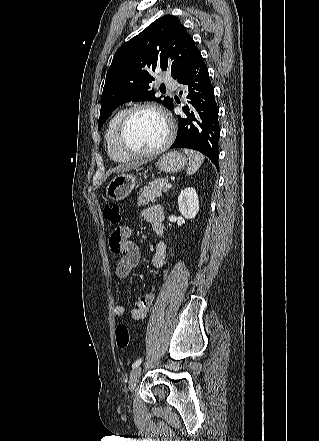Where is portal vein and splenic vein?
<instances>
[{"instance_id":"1","label":"portal vein and splenic vein","mask_w":319,"mask_h":441,"mask_svg":"<svg viewBox=\"0 0 319 441\" xmlns=\"http://www.w3.org/2000/svg\"><path fill=\"white\" fill-rule=\"evenodd\" d=\"M172 187V184L171 183H167L166 185H165V188L166 189H169V188H171Z\"/></svg>"}]
</instances>
